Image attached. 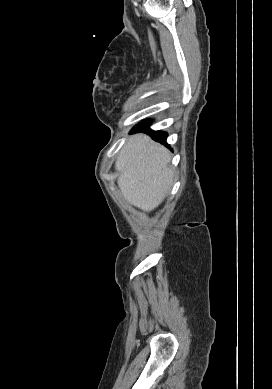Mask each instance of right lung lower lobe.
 Wrapping results in <instances>:
<instances>
[{"instance_id": "1", "label": "right lung lower lobe", "mask_w": 272, "mask_h": 389, "mask_svg": "<svg viewBox=\"0 0 272 389\" xmlns=\"http://www.w3.org/2000/svg\"><path fill=\"white\" fill-rule=\"evenodd\" d=\"M150 122V120L142 121L132 129V132L148 131L153 140L166 144L167 133L162 131H152L149 128Z\"/></svg>"}]
</instances>
